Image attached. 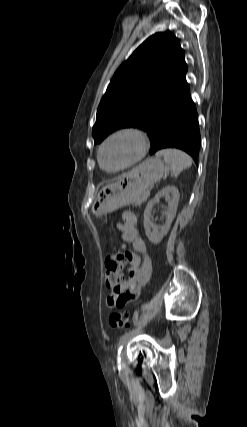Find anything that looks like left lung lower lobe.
Masks as SVG:
<instances>
[{
    "label": "left lung lower lobe",
    "mask_w": 247,
    "mask_h": 427,
    "mask_svg": "<svg viewBox=\"0 0 247 427\" xmlns=\"http://www.w3.org/2000/svg\"><path fill=\"white\" fill-rule=\"evenodd\" d=\"M147 135L152 155L164 148H178L188 153L195 163L199 155L200 131L189 87L170 100L153 118Z\"/></svg>",
    "instance_id": "obj_1"
}]
</instances>
